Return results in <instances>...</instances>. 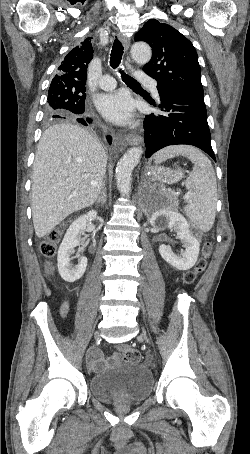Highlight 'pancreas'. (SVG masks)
I'll return each instance as SVG.
<instances>
[{
	"instance_id": "cf45deb5",
	"label": "pancreas",
	"mask_w": 250,
	"mask_h": 454,
	"mask_svg": "<svg viewBox=\"0 0 250 454\" xmlns=\"http://www.w3.org/2000/svg\"><path fill=\"white\" fill-rule=\"evenodd\" d=\"M166 197L175 205H178L177 197L171 192H165Z\"/></svg>"
}]
</instances>
